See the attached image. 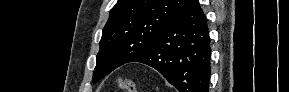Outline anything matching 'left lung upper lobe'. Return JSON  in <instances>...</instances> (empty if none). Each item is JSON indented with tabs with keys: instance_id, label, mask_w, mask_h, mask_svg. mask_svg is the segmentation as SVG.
<instances>
[{
	"instance_id": "obj_1",
	"label": "left lung upper lobe",
	"mask_w": 289,
	"mask_h": 92,
	"mask_svg": "<svg viewBox=\"0 0 289 92\" xmlns=\"http://www.w3.org/2000/svg\"><path fill=\"white\" fill-rule=\"evenodd\" d=\"M190 0H118L102 31L96 82L146 51Z\"/></svg>"
}]
</instances>
